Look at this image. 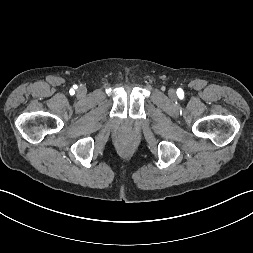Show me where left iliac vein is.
<instances>
[{"label": "left iliac vein", "mask_w": 253, "mask_h": 253, "mask_svg": "<svg viewBox=\"0 0 253 253\" xmlns=\"http://www.w3.org/2000/svg\"><path fill=\"white\" fill-rule=\"evenodd\" d=\"M169 95H170V97H175V91L174 90H170L169 91Z\"/></svg>", "instance_id": "1"}]
</instances>
